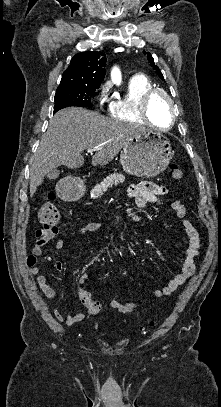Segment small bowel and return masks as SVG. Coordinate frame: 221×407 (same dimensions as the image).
I'll return each instance as SVG.
<instances>
[{
    "label": "small bowel",
    "mask_w": 221,
    "mask_h": 407,
    "mask_svg": "<svg viewBox=\"0 0 221 407\" xmlns=\"http://www.w3.org/2000/svg\"><path fill=\"white\" fill-rule=\"evenodd\" d=\"M168 193V189L164 186L158 185L154 182L144 181L129 188L127 192V201L125 202V213L132 221H138V215L135 208L143 209L150 204H154L158 199ZM171 208L176 212V215L182 219V226L188 237L185 257L181 266L180 272L171 279L161 289L156 290L153 293L155 298H162L173 293L179 286L186 283L195 273L196 260L199 256L202 240L199 231L194 225L186 219V207L179 201L175 200L171 203ZM100 228V224L96 222L88 223L80 227L77 231V235H85L90 232H94ZM50 238H41L36 234V241L31 249V253L26 256L25 263L28 267L29 273L36 276V283L42 293L50 300H56L59 296L58 291L49 284L47 277L40 273V267L38 266L39 260L50 262L53 264L54 269L62 273L65 270L64 265L57 260L55 255H45L44 247ZM57 249H62L65 246V240L58 238L55 242ZM89 279L88 273H83L79 279V284H85ZM29 284H32L31 282ZM79 291V299L81 300V292ZM146 300L141 301H126L118 302L112 300L110 306L113 309L122 313H134L136 312ZM56 318L65 323L66 325H72L74 323L84 320L85 314L83 312H77L73 315H63L57 311L54 312Z\"/></svg>",
    "instance_id": "small-bowel-1"
}]
</instances>
